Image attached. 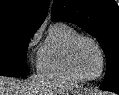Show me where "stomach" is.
Returning a JSON list of instances; mask_svg holds the SVG:
<instances>
[{
	"label": "stomach",
	"mask_w": 119,
	"mask_h": 95,
	"mask_svg": "<svg viewBox=\"0 0 119 95\" xmlns=\"http://www.w3.org/2000/svg\"><path fill=\"white\" fill-rule=\"evenodd\" d=\"M68 95H89L87 92H84L80 89H74Z\"/></svg>",
	"instance_id": "stomach-1"
}]
</instances>
